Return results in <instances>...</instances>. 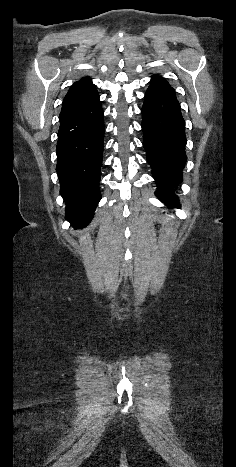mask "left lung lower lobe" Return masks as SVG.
<instances>
[{
  "mask_svg": "<svg viewBox=\"0 0 236 467\" xmlns=\"http://www.w3.org/2000/svg\"><path fill=\"white\" fill-rule=\"evenodd\" d=\"M143 145L157 197L170 207H179L174 188L182 181L185 166V121L175 91L149 87L142 107Z\"/></svg>",
  "mask_w": 236,
  "mask_h": 467,
  "instance_id": "0a47b994",
  "label": "left lung lower lobe"
}]
</instances>
